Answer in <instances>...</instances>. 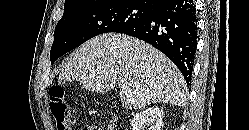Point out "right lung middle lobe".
I'll return each instance as SVG.
<instances>
[{
	"instance_id": "right-lung-middle-lobe-1",
	"label": "right lung middle lobe",
	"mask_w": 249,
	"mask_h": 130,
	"mask_svg": "<svg viewBox=\"0 0 249 130\" xmlns=\"http://www.w3.org/2000/svg\"><path fill=\"white\" fill-rule=\"evenodd\" d=\"M151 11L150 6L134 0H107L65 11L55 27L51 63L94 36L108 32L119 33L143 21Z\"/></svg>"
}]
</instances>
